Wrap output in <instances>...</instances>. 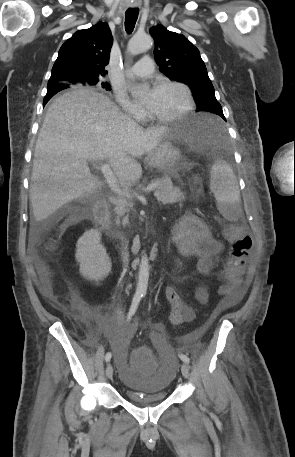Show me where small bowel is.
<instances>
[{
	"instance_id": "c3829d8e",
	"label": "small bowel",
	"mask_w": 295,
	"mask_h": 457,
	"mask_svg": "<svg viewBox=\"0 0 295 457\" xmlns=\"http://www.w3.org/2000/svg\"><path fill=\"white\" fill-rule=\"evenodd\" d=\"M171 240L178 250L185 256L195 257L197 267L201 273H207L213 267L216 258L223 250V245L215 239L209 227L197 216L186 212L176 219L171 229ZM227 289V288H226ZM229 303L237 302L244 293V288L237 284L227 291ZM165 297L170 304V321L173 325H181L194 320L195 312L193 307L182 301L180 296L172 287L165 288ZM195 300L205 303L208 300V293L204 288H197ZM89 315L96 320L104 329L114 331L117 327L124 325V312L117 306L112 312L101 313L94 308L87 309ZM160 325L151 326V337L157 342H162L159 334ZM136 331V325L126 326L119 335V338L130 339Z\"/></svg>"
}]
</instances>
